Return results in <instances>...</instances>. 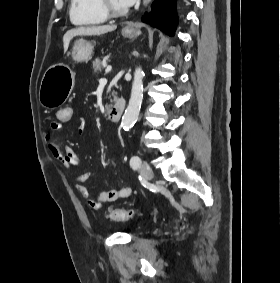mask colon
I'll return each instance as SVG.
<instances>
[{
  "mask_svg": "<svg viewBox=\"0 0 280 283\" xmlns=\"http://www.w3.org/2000/svg\"><path fill=\"white\" fill-rule=\"evenodd\" d=\"M71 105H62L56 111L58 122H72L73 111ZM133 213L126 209H113L109 212L108 218L112 221H124L129 219Z\"/></svg>",
  "mask_w": 280,
  "mask_h": 283,
  "instance_id": "5ec220e1",
  "label": "colon"
}]
</instances>
